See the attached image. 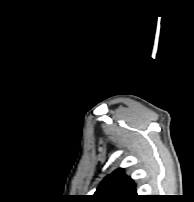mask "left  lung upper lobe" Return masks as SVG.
<instances>
[{
  "instance_id": "obj_1",
  "label": "left lung upper lobe",
  "mask_w": 194,
  "mask_h": 202,
  "mask_svg": "<svg viewBox=\"0 0 194 202\" xmlns=\"http://www.w3.org/2000/svg\"><path fill=\"white\" fill-rule=\"evenodd\" d=\"M92 197L97 202H133L140 196L133 180L118 169L100 183Z\"/></svg>"
}]
</instances>
